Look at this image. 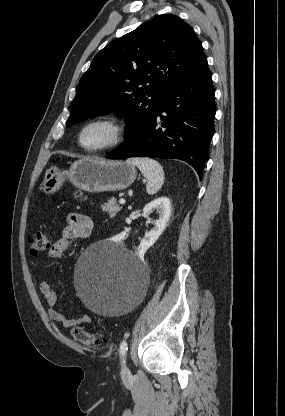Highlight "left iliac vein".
Masks as SVG:
<instances>
[{"label": "left iliac vein", "mask_w": 285, "mask_h": 416, "mask_svg": "<svg viewBox=\"0 0 285 416\" xmlns=\"http://www.w3.org/2000/svg\"><path fill=\"white\" fill-rule=\"evenodd\" d=\"M121 374H122L123 377L130 374V370L128 369V367L126 365L125 360H123V363H122Z\"/></svg>", "instance_id": "obj_1"}]
</instances>
